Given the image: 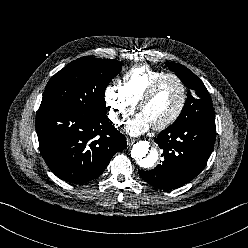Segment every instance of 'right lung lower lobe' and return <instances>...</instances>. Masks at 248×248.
Masks as SVG:
<instances>
[{
  "instance_id": "98d812e1",
  "label": "right lung lower lobe",
  "mask_w": 248,
  "mask_h": 248,
  "mask_svg": "<svg viewBox=\"0 0 248 248\" xmlns=\"http://www.w3.org/2000/svg\"><path fill=\"white\" fill-rule=\"evenodd\" d=\"M36 131L41 154L60 179L83 184L97 178L112 156L127 147L106 116L64 108H39Z\"/></svg>"
}]
</instances>
